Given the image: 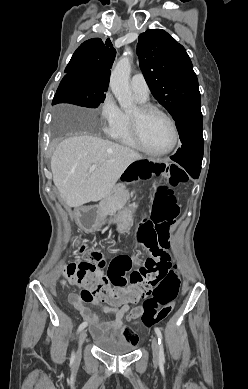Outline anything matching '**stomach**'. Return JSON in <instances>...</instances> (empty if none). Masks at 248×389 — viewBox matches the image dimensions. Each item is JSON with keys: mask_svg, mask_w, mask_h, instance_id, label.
I'll return each mask as SVG.
<instances>
[{"mask_svg": "<svg viewBox=\"0 0 248 389\" xmlns=\"http://www.w3.org/2000/svg\"><path fill=\"white\" fill-rule=\"evenodd\" d=\"M99 209L96 207H90L89 213H84V220H89L90 226H96L98 224V219L100 220H117L116 224L119 225L117 227V233L119 235H127L129 227L128 225L132 224V219L134 218V211L132 212V209L130 207H119L117 209L118 213H100L98 214ZM133 214H132V213ZM97 231L101 230L100 226L96 227Z\"/></svg>", "mask_w": 248, "mask_h": 389, "instance_id": "1", "label": "stomach"}]
</instances>
